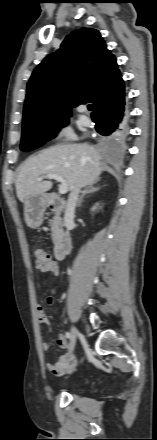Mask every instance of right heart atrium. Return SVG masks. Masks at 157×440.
<instances>
[{
  "instance_id": "d8ad5b80",
  "label": "right heart atrium",
  "mask_w": 157,
  "mask_h": 440,
  "mask_svg": "<svg viewBox=\"0 0 157 440\" xmlns=\"http://www.w3.org/2000/svg\"><path fill=\"white\" fill-rule=\"evenodd\" d=\"M52 137L56 140H72L75 135L68 125H60L53 131Z\"/></svg>"
}]
</instances>
